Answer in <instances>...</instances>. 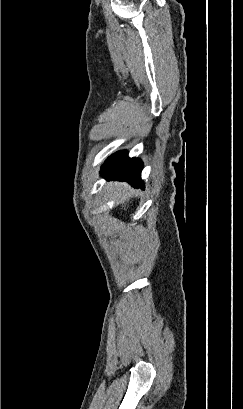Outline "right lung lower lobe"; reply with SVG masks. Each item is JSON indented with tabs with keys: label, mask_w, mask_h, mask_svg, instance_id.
I'll list each match as a JSON object with an SVG mask.
<instances>
[{
	"label": "right lung lower lobe",
	"mask_w": 243,
	"mask_h": 409,
	"mask_svg": "<svg viewBox=\"0 0 243 409\" xmlns=\"http://www.w3.org/2000/svg\"><path fill=\"white\" fill-rule=\"evenodd\" d=\"M143 163L138 158L127 157V151H119L111 155L102 166L101 174L108 179L127 181L135 187L143 189L140 174Z\"/></svg>",
	"instance_id": "1"
}]
</instances>
